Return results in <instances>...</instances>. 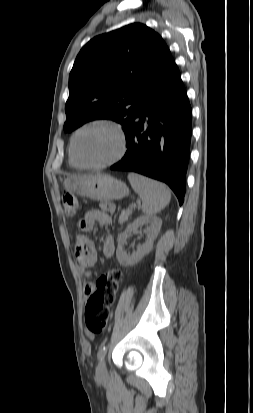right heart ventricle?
I'll return each instance as SVG.
<instances>
[{
  "instance_id": "1",
  "label": "right heart ventricle",
  "mask_w": 253,
  "mask_h": 413,
  "mask_svg": "<svg viewBox=\"0 0 253 413\" xmlns=\"http://www.w3.org/2000/svg\"><path fill=\"white\" fill-rule=\"evenodd\" d=\"M70 164L74 167H77L76 164L72 161L71 157H70Z\"/></svg>"
}]
</instances>
